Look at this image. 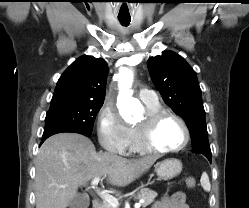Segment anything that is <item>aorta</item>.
<instances>
[{
    "instance_id": "762f6f07",
    "label": "aorta",
    "mask_w": 249,
    "mask_h": 208,
    "mask_svg": "<svg viewBox=\"0 0 249 208\" xmlns=\"http://www.w3.org/2000/svg\"><path fill=\"white\" fill-rule=\"evenodd\" d=\"M121 80L119 81L118 109L121 117L126 122H133L140 118L143 113V106L140 101L134 98L133 91L130 89L132 83V72L129 69L120 71Z\"/></svg>"
}]
</instances>
